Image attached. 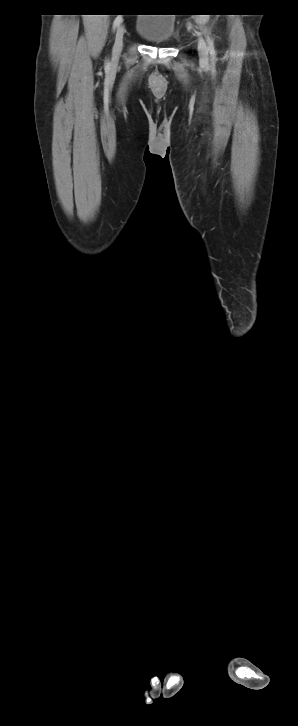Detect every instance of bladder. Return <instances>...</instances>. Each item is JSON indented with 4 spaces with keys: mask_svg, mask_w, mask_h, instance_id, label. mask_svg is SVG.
<instances>
[{
    "mask_svg": "<svg viewBox=\"0 0 298 726\" xmlns=\"http://www.w3.org/2000/svg\"><path fill=\"white\" fill-rule=\"evenodd\" d=\"M138 18L135 31L153 45H167L174 36L175 18L170 14H142Z\"/></svg>",
    "mask_w": 298,
    "mask_h": 726,
    "instance_id": "bladder-1",
    "label": "bladder"
}]
</instances>
